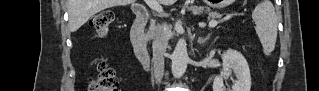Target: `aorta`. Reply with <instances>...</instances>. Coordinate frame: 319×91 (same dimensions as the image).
<instances>
[{"label":"aorta","mask_w":319,"mask_h":91,"mask_svg":"<svg viewBox=\"0 0 319 91\" xmlns=\"http://www.w3.org/2000/svg\"><path fill=\"white\" fill-rule=\"evenodd\" d=\"M189 61L187 47L184 42H179L172 54V74L175 78L184 75Z\"/></svg>","instance_id":"762f6f07"}]
</instances>
